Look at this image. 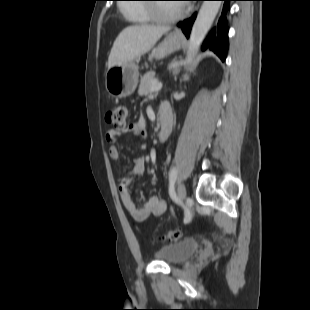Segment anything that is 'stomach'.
Wrapping results in <instances>:
<instances>
[{
	"mask_svg": "<svg viewBox=\"0 0 310 310\" xmlns=\"http://www.w3.org/2000/svg\"><path fill=\"white\" fill-rule=\"evenodd\" d=\"M180 46L181 38L175 33H171L158 46L152 48L150 58L162 59L177 51ZM138 77V65L134 60L114 65L106 71L105 86L114 97L124 98L134 93L138 84Z\"/></svg>",
	"mask_w": 310,
	"mask_h": 310,
	"instance_id": "stomach-1",
	"label": "stomach"
}]
</instances>
